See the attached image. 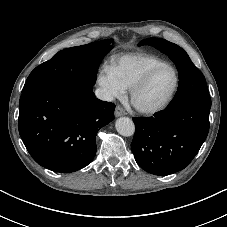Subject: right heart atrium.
Listing matches in <instances>:
<instances>
[{"label":"right heart atrium","instance_id":"d8ad5b80","mask_svg":"<svg viewBox=\"0 0 227 227\" xmlns=\"http://www.w3.org/2000/svg\"><path fill=\"white\" fill-rule=\"evenodd\" d=\"M97 82L105 97L109 100L121 98L125 89L116 78L112 67L103 66L98 72Z\"/></svg>","mask_w":227,"mask_h":227}]
</instances>
